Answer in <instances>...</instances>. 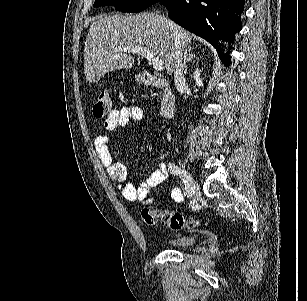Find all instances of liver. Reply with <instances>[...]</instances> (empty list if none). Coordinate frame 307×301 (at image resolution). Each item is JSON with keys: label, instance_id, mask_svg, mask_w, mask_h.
Segmentation results:
<instances>
[{"label": "liver", "instance_id": "obj_1", "mask_svg": "<svg viewBox=\"0 0 307 301\" xmlns=\"http://www.w3.org/2000/svg\"><path fill=\"white\" fill-rule=\"evenodd\" d=\"M173 24V28L169 26ZM193 34L157 12L138 14H100L92 22L85 40L84 72L88 82H98L110 70L133 68L130 52H119L115 46H141L159 56L168 74L173 72L172 56L176 44L186 48ZM140 64V58H137Z\"/></svg>", "mask_w": 307, "mask_h": 301}]
</instances>
